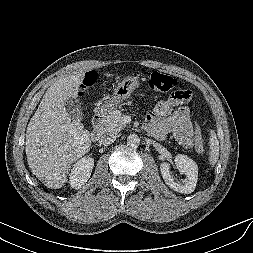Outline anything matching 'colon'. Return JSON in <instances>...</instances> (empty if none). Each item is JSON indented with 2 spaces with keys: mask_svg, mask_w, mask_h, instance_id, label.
<instances>
[{
  "mask_svg": "<svg viewBox=\"0 0 253 253\" xmlns=\"http://www.w3.org/2000/svg\"><path fill=\"white\" fill-rule=\"evenodd\" d=\"M96 75L94 72H88L83 80V86L89 87L95 81ZM150 88L159 93H166L172 91L176 86V80L170 75L160 73L158 71L153 72L149 78ZM172 97L178 100H184L188 102L191 98V92L188 90H176L172 93ZM195 147L199 151L204 150V143L199 134L195 136Z\"/></svg>",
  "mask_w": 253,
  "mask_h": 253,
  "instance_id": "1",
  "label": "colon"
}]
</instances>
